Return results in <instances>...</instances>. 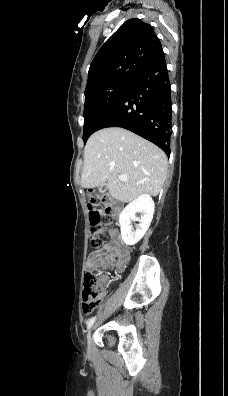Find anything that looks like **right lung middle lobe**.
Instances as JSON below:
<instances>
[{"label": "right lung middle lobe", "mask_w": 228, "mask_h": 396, "mask_svg": "<svg viewBox=\"0 0 228 396\" xmlns=\"http://www.w3.org/2000/svg\"><path fill=\"white\" fill-rule=\"evenodd\" d=\"M129 85L128 82H115L85 92L84 143L96 131L99 122L115 106Z\"/></svg>", "instance_id": "1"}]
</instances>
